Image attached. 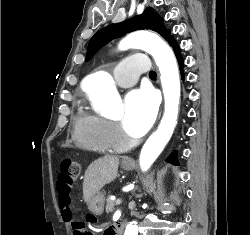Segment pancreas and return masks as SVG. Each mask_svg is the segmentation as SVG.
Returning <instances> with one entry per match:
<instances>
[{"instance_id": "1", "label": "pancreas", "mask_w": 250, "mask_h": 235, "mask_svg": "<svg viewBox=\"0 0 250 235\" xmlns=\"http://www.w3.org/2000/svg\"><path fill=\"white\" fill-rule=\"evenodd\" d=\"M115 201H113L110 196L106 199V212L110 213L114 210Z\"/></svg>"}]
</instances>
